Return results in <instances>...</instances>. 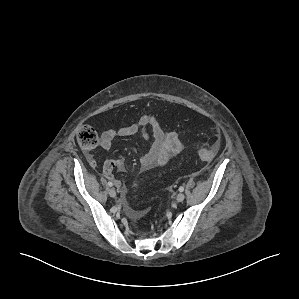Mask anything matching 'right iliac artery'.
<instances>
[{"label":"right iliac artery","mask_w":299,"mask_h":299,"mask_svg":"<svg viewBox=\"0 0 299 299\" xmlns=\"http://www.w3.org/2000/svg\"><path fill=\"white\" fill-rule=\"evenodd\" d=\"M108 186H109V187H112V186H113V183H112L111 181H109V182H108Z\"/></svg>","instance_id":"obj_1"}]
</instances>
